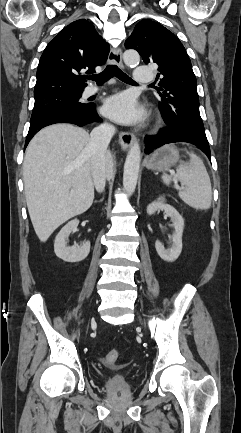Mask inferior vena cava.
<instances>
[{
	"mask_svg": "<svg viewBox=\"0 0 241 433\" xmlns=\"http://www.w3.org/2000/svg\"><path fill=\"white\" fill-rule=\"evenodd\" d=\"M114 134V126L108 123H103L92 130L86 148L91 157L92 178L94 186L98 192H103L105 188L106 152Z\"/></svg>",
	"mask_w": 241,
	"mask_h": 433,
	"instance_id": "1",
	"label": "inferior vena cava"
}]
</instances>
